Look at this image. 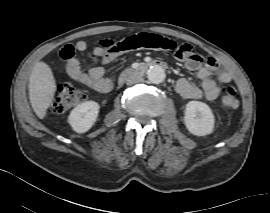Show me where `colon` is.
<instances>
[{"label":"colon","instance_id":"1","mask_svg":"<svg viewBox=\"0 0 270 213\" xmlns=\"http://www.w3.org/2000/svg\"><path fill=\"white\" fill-rule=\"evenodd\" d=\"M120 49H150L154 52H164L177 48L175 57L178 60L184 59V54L190 50V45L182 43L177 45L173 40L161 35L140 33L123 38L119 42ZM110 50H114L110 48ZM116 50V49H115ZM191 60L196 63H207L208 58L199 53H192ZM86 99V93L79 87L70 83H61L56 88V96L52 104L54 112L63 113L68 109L75 107ZM219 103L225 109H233L237 106V90L233 85H226L222 88Z\"/></svg>","mask_w":270,"mask_h":213}]
</instances>
